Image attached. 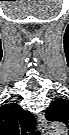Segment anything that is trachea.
I'll use <instances>...</instances> for the list:
<instances>
[{"instance_id": "1", "label": "trachea", "mask_w": 69, "mask_h": 135, "mask_svg": "<svg viewBox=\"0 0 69 135\" xmlns=\"http://www.w3.org/2000/svg\"><path fill=\"white\" fill-rule=\"evenodd\" d=\"M32 134H40V132H39V131H36V132H34V133H32Z\"/></svg>"}]
</instances>
